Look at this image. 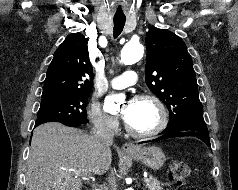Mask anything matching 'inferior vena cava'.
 Masks as SVG:
<instances>
[{
  "label": "inferior vena cava",
  "mask_w": 238,
  "mask_h": 190,
  "mask_svg": "<svg viewBox=\"0 0 238 190\" xmlns=\"http://www.w3.org/2000/svg\"><path fill=\"white\" fill-rule=\"evenodd\" d=\"M92 134L97 146L101 150L109 148V146L113 143L114 132L105 122L100 121L96 123L94 129L92 130ZM108 182L110 184V180ZM102 190H109V185H105Z\"/></svg>",
  "instance_id": "1"
}]
</instances>
